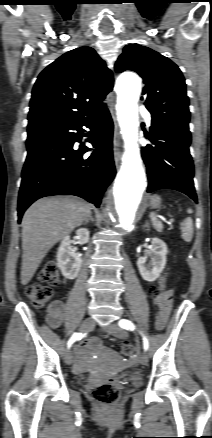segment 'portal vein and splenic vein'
Segmentation results:
<instances>
[{"label": "portal vein and splenic vein", "mask_w": 212, "mask_h": 438, "mask_svg": "<svg viewBox=\"0 0 212 438\" xmlns=\"http://www.w3.org/2000/svg\"><path fill=\"white\" fill-rule=\"evenodd\" d=\"M173 222H174V219H170L169 221H166V223H167L168 225H172Z\"/></svg>", "instance_id": "1"}]
</instances>
